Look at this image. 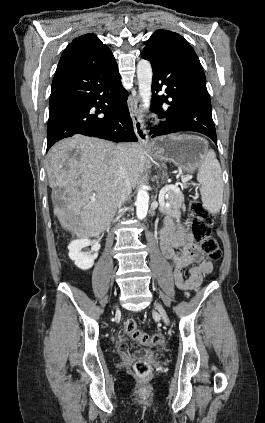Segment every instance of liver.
<instances>
[{"instance_id":"1","label":"liver","mask_w":265,"mask_h":423,"mask_svg":"<svg viewBox=\"0 0 265 423\" xmlns=\"http://www.w3.org/2000/svg\"><path fill=\"white\" fill-rule=\"evenodd\" d=\"M118 148L126 161L131 185L135 186L145 164L144 153L135 143L116 145L76 134L56 143L47 154L54 213L61 226L78 238L98 236L115 215ZM58 188L63 189L59 197Z\"/></svg>"}]
</instances>
